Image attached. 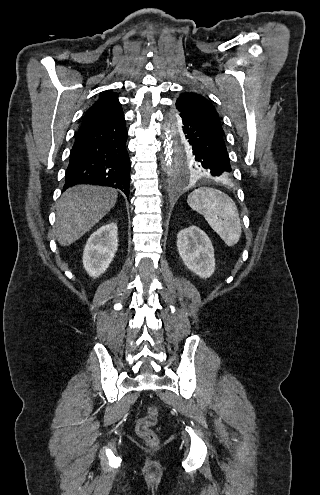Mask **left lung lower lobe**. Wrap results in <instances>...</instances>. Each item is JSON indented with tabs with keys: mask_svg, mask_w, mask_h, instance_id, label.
Instances as JSON below:
<instances>
[{
	"mask_svg": "<svg viewBox=\"0 0 320 495\" xmlns=\"http://www.w3.org/2000/svg\"><path fill=\"white\" fill-rule=\"evenodd\" d=\"M180 129L189 145L199 151L201 164L211 178H226L231 172L224 136L194 115L179 113ZM172 125V120H171Z\"/></svg>",
	"mask_w": 320,
	"mask_h": 495,
	"instance_id": "1",
	"label": "left lung lower lobe"
}]
</instances>
